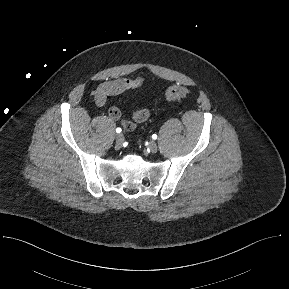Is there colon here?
Segmentation results:
<instances>
[{
    "label": "colon",
    "mask_w": 289,
    "mask_h": 289,
    "mask_svg": "<svg viewBox=\"0 0 289 289\" xmlns=\"http://www.w3.org/2000/svg\"><path fill=\"white\" fill-rule=\"evenodd\" d=\"M188 94V88L180 85H174L166 91V98L168 101H176L186 97Z\"/></svg>",
    "instance_id": "1"
}]
</instances>
